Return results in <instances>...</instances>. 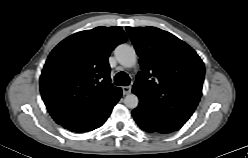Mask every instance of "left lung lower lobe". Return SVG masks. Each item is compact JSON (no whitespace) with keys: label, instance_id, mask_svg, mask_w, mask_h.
Segmentation results:
<instances>
[{"label":"left lung lower lobe","instance_id":"left-lung-lower-lobe-1","mask_svg":"<svg viewBox=\"0 0 248 158\" xmlns=\"http://www.w3.org/2000/svg\"><path fill=\"white\" fill-rule=\"evenodd\" d=\"M132 115L139 127L147 132L170 133L178 130L141 106L134 109Z\"/></svg>","mask_w":248,"mask_h":158}]
</instances>
